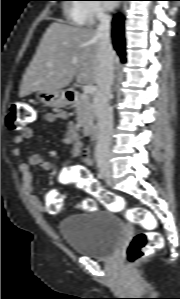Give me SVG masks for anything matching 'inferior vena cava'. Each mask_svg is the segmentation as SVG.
<instances>
[{"instance_id": "1", "label": "inferior vena cava", "mask_w": 180, "mask_h": 299, "mask_svg": "<svg viewBox=\"0 0 180 299\" xmlns=\"http://www.w3.org/2000/svg\"><path fill=\"white\" fill-rule=\"evenodd\" d=\"M99 25L97 35L102 48L99 55L97 90L93 98V108L98 119V138L96 156L107 158L110 154L111 134L113 129V111L109 105L111 85L114 79V51L110 41L111 16L98 12Z\"/></svg>"}]
</instances>
